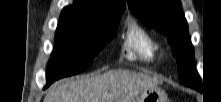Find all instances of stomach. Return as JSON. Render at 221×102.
Wrapping results in <instances>:
<instances>
[{"mask_svg":"<svg viewBox=\"0 0 221 102\" xmlns=\"http://www.w3.org/2000/svg\"><path fill=\"white\" fill-rule=\"evenodd\" d=\"M134 102H168L166 92L159 88L153 87L145 90L140 98L135 100Z\"/></svg>","mask_w":221,"mask_h":102,"instance_id":"obj_1","label":"stomach"}]
</instances>
